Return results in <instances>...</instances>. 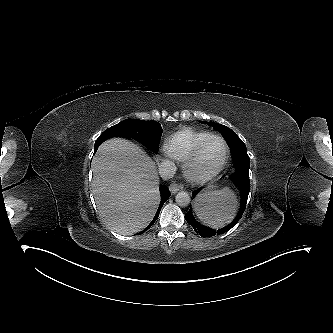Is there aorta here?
Listing matches in <instances>:
<instances>
[{
    "label": "aorta",
    "mask_w": 333,
    "mask_h": 333,
    "mask_svg": "<svg viewBox=\"0 0 333 333\" xmlns=\"http://www.w3.org/2000/svg\"><path fill=\"white\" fill-rule=\"evenodd\" d=\"M175 201H176L177 205H179L181 207H186L189 205L191 198L187 192L181 191L176 195Z\"/></svg>",
    "instance_id": "1"
}]
</instances>
